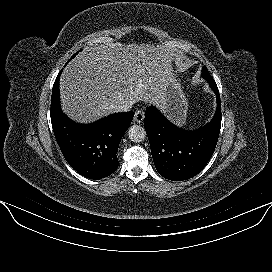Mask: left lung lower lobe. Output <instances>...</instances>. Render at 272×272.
Returning a JSON list of instances; mask_svg holds the SVG:
<instances>
[{
	"mask_svg": "<svg viewBox=\"0 0 272 272\" xmlns=\"http://www.w3.org/2000/svg\"><path fill=\"white\" fill-rule=\"evenodd\" d=\"M216 94L217 110L213 119L196 131H185L169 122L155 107L145 112V130L158 173L172 181L197 175L215 150L221 127V103L213 78L206 79Z\"/></svg>",
	"mask_w": 272,
	"mask_h": 272,
	"instance_id": "obj_1",
	"label": "left lung lower lobe"
}]
</instances>
